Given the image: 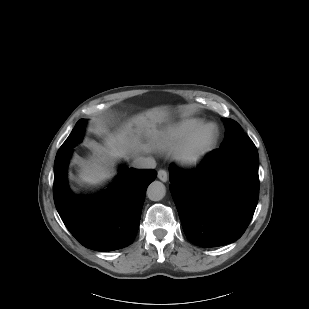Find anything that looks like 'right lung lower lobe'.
Here are the masks:
<instances>
[{
    "instance_id": "obj_1",
    "label": "right lung lower lobe",
    "mask_w": 309,
    "mask_h": 309,
    "mask_svg": "<svg viewBox=\"0 0 309 309\" xmlns=\"http://www.w3.org/2000/svg\"><path fill=\"white\" fill-rule=\"evenodd\" d=\"M72 151L54 163L56 209L71 234L86 248L113 251L130 245L137 234L146 188L157 172L121 168L114 184L92 198L73 195L66 180Z\"/></svg>"
}]
</instances>
